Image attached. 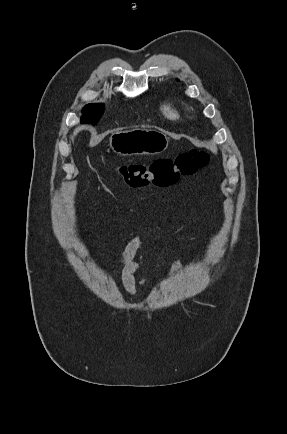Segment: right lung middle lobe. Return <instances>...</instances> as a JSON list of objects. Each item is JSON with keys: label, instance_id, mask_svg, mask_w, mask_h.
Instances as JSON below:
<instances>
[{"label": "right lung middle lobe", "instance_id": "1", "mask_svg": "<svg viewBox=\"0 0 287 434\" xmlns=\"http://www.w3.org/2000/svg\"><path fill=\"white\" fill-rule=\"evenodd\" d=\"M104 110L102 104H88L82 110V122L96 124Z\"/></svg>", "mask_w": 287, "mask_h": 434}]
</instances>
